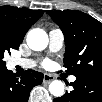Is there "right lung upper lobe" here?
Instances as JSON below:
<instances>
[{"label": "right lung upper lobe", "instance_id": "right-lung-upper-lobe-1", "mask_svg": "<svg viewBox=\"0 0 102 102\" xmlns=\"http://www.w3.org/2000/svg\"><path fill=\"white\" fill-rule=\"evenodd\" d=\"M43 13V10L1 6L0 40L19 47L26 32Z\"/></svg>", "mask_w": 102, "mask_h": 102}]
</instances>
